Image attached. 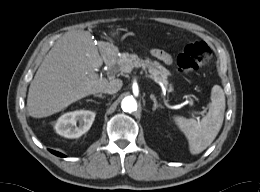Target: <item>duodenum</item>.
<instances>
[{
	"mask_svg": "<svg viewBox=\"0 0 260 192\" xmlns=\"http://www.w3.org/2000/svg\"><path fill=\"white\" fill-rule=\"evenodd\" d=\"M111 60L110 59H107V62H110Z\"/></svg>",
	"mask_w": 260,
	"mask_h": 192,
	"instance_id": "obj_1",
	"label": "duodenum"
}]
</instances>
